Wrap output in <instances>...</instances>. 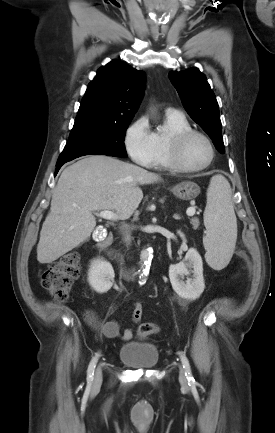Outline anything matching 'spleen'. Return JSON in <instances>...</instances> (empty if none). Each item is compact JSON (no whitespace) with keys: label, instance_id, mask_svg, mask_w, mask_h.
<instances>
[{"label":"spleen","instance_id":"1","mask_svg":"<svg viewBox=\"0 0 275 433\" xmlns=\"http://www.w3.org/2000/svg\"><path fill=\"white\" fill-rule=\"evenodd\" d=\"M204 224L207 230L203 238L205 259L213 269L221 270L231 260L237 239V219L231 201V188L222 175L213 176L210 180Z\"/></svg>","mask_w":275,"mask_h":433}]
</instances>
